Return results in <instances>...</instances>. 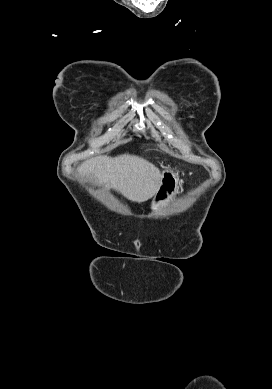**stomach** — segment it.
Wrapping results in <instances>:
<instances>
[{"label":"stomach","instance_id":"0dacf381","mask_svg":"<svg viewBox=\"0 0 272 389\" xmlns=\"http://www.w3.org/2000/svg\"><path fill=\"white\" fill-rule=\"evenodd\" d=\"M178 192V177L173 169L163 171L159 188L151 203V210L158 211L168 206Z\"/></svg>","mask_w":272,"mask_h":389}]
</instances>
